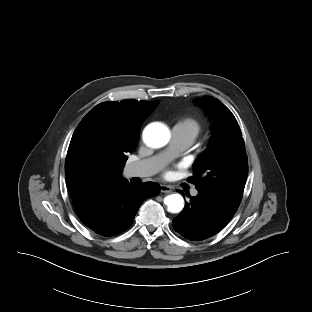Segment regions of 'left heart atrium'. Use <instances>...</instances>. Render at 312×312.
<instances>
[{
    "mask_svg": "<svg viewBox=\"0 0 312 312\" xmlns=\"http://www.w3.org/2000/svg\"><path fill=\"white\" fill-rule=\"evenodd\" d=\"M165 175H166V176H169V175H170V173H169V172H166V173H165Z\"/></svg>",
    "mask_w": 312,
    "mask_h": 312,
    "instance_id": "1",
    "label": "left heart atrium"
}]
</instances>
